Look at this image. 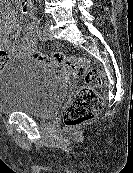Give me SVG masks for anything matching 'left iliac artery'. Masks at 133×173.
Returning <instances> with one entry per match:
<instances>
[{"instance_id": "left-iliac-artery-1", "label": "left iliac artery", "mask_w": 133, "mask_h": 173, "mask_svg": "<svg viewBox=\"0 0 133 173\" xmlns=\"http://www.w3.org/2000/svg\"><path fill=\"white\" fill-rule=\"evenodd\" d=\"M38 37L42 40L43 39V26H40L37 30Z\"/></svg>"}]
</instances>
